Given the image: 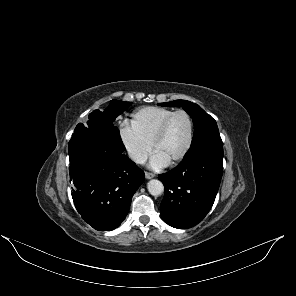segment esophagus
<instances>
[{"mask_svg": "<svg viewBox=\"0 0 296 296\" xmlns=\"http://www.w3.org/2000/svg\"><path fill=\"white\" fill-rule=\"evenodd\" d=\"M145 177L146 179H151L155 177V174L151 173V172H145Z\"/></svg>", "mask_w": 296, "mask_h": 296, "instance_id": "esophagus-1", "label": "esophagus"}]
</instances>
